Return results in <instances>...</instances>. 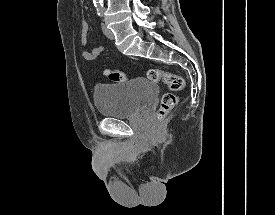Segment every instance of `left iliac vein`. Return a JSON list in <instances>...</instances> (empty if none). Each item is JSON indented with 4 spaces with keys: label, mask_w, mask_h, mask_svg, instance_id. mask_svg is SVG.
<instances>
[{
    "label": "left iliac vein",
    "mask_w": 275,
    "mask_h": 215,
    "mask_svg": "<svg viewBox=\"0 0 275 215\" xmlns=\"http://www.w3.org/2000/svg\"><path fill=\"white\" fill-rule=\"evenodd\" d=\"M102 30L104 32V34L109 38V39H113L114 38V34L113 32L106 26V24H102Z\"/></svg>",
    "instance_id": "left-iliac-vein-1"
}]
</instances>
